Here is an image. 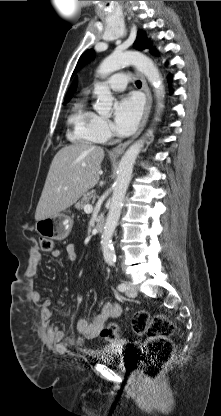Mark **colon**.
<instances>
[{
	"mask_svg": "<svg viewBox=\"0 0 221 416\" xmlns=\"http://www.w3.org/2000/svg\"><path fill=\"white\" fill-rule=\"evenodd\" d=\"M40 247L48 253L55 250L54 241L49 238H41ZM131 328L137 335L147 334L140 365L142 375L154 380L173 355L174 344L171 336L175 332V326L165 315L151 316L146 310H138L132 316ZM100 334L108 341H116L119 337V327L114 322L109 323L101 329Z\"/></svg>",
	"mask_w": 221,
	"mask_h": 416,
	"instance_id": "obj_1",
	"label": "colon"
}]
</instances>
